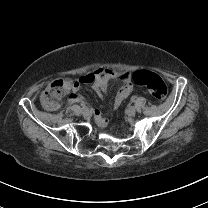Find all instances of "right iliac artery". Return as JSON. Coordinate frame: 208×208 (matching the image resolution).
I'll use <instances>...</instances> for the list:
<instances>
[{"label": "right iliac artery", "instance_id": "82829eb1", "mask_svg": "<svg viewBox=\"0 0 208 208\" xmlns=\"http://www.w3.org/2000/svg\"><path fill=\"white\" fill-rule=\"evenodd\" d=\"M81 107L84 109V108H86V104L85 103H82L81 104Z\"/></svg>", "mask_w": 208, "mask_h": 208}]
</instances>
